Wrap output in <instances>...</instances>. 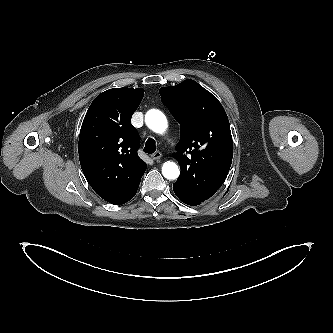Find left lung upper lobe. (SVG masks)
I'll return each instance as SVG.
<instances>
[{"instance_id":"1","label":"left lung upper lobe","mask_w":333,"mask_h":333,"mask_svg":"<svg viewBox=\"0 0 333 333\" xmlns=\"http://www.w3.org/2000/svg\"><path fill=\"white\" fill-rule=\"evenodd\" d=\"M159 92L181 125L178 153L173 155L181 172L173 186L203 202L221 187L231 166L233 141L226 112L216 97L193 80Z\"/></svg>"}]
</instances>
